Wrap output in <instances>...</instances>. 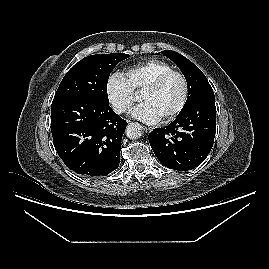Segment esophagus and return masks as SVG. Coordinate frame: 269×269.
I'll list each match as a JSON object with an SVG mask.
<instances>
[{"label":"esophagus","mask_w":269,"mask_h":269,"mask_svg":"<svg viewBox=\"0 0 269 269\" xmlns=\"http://www.w3.org/2000/svg\"><path fill=\"white\" fill-rule=\"evenodd\" d=\"M143 129L146 133H149L152 131V128L151 127H147V126H143Z\"/></svg>","instance_id":"34e87169"}]
</instances>
